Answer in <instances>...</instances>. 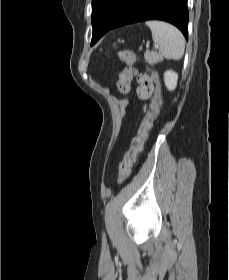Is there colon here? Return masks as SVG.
<instances>
[{"label": "colon", "instance_id": "1", "mask_svg": "<svg viewBox=\"0 0 229 280\" xmlns=\"http://www.w3.org/2000/svg\"><path fill=\"white\" fill-rule=\"evenodd\" d=\"M119 59L126 65V68L121 72L118 88L121 92L128 90V82L134 77L142 88V92L146 98H151V109L141 121L135 136L131 140L130 149L125 155L124 161L120 168L118 183H123L132 172L133 165L138 155L143 151L145 143L149 138L153 123L159 115L162 104L161 93L159 89H154V83H157V78H151L147 74L138 73L134 68L137 56L134 50L124 49L118 53Z\"/></svg>", "mask_w": 229, "mask_h": 280}]
</instances>
